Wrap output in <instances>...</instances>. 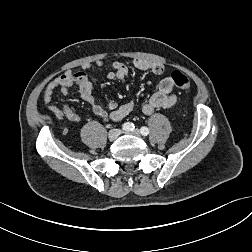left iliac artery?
Listing matches in <instances>:
<instances>
[{"label":"left iliac artery","instance_id":"left-iliac-artery-1","mask_svg":"<svg viewBox=\"0 0 252 252\" xmlns=\"http://www.w3.org/2000/svg\"><path fill=\"white\" fill-rule=\"evenodd\" d=\"M140 132L143 136H147L149 134V129L147 127H142Z\"/></svg>","mask_w":252,"mask_h":252}]
</instances>
